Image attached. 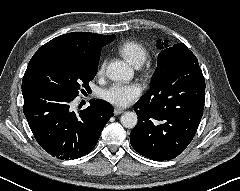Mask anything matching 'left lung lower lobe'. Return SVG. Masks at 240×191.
<instances>
[{"mask_svg": "<svg viewBox=\"0 0 240 191\" xmlns=\"http://www.w3.org/2000/svg\"><path fill=\"white\" fill-rule=\"evenodd\" d=\"M203 74L187 78L181 91H165L151 100L141 98L134 107L138 124L130 134L132 147L156 161L170 160L192 141L203 115Z\"/></svg>", "mask_w": 240, "mask_h": 191, "instance_id": "0a47b994", "label": "left lung lower lobe"}]
</instances>
